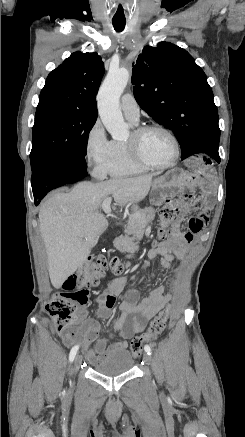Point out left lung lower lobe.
<instances>
[{"instance_id":"0a47b994","label":"left lung lower lobe","mask_w":245,"mask_h":437,"mask_svg":"<svg viewBox=\"0 0 245 437\" xmlns=\"http://www.w3.org/2000/svg\"><path fill=\"white\" fill-rule=\"evenodd\" d=\"M204 153L208 154L210 157L215 159L217 162H220V157H219V153L217 150H205Z\"/></svg>"}]
</instances>
